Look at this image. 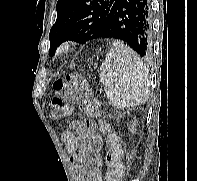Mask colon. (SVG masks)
I'll use <instances>...</instances> for the list:
<instances>
[{
	"mask_svg": "<svg viewBox=\"0 0 197 181\" xmlns=\"http://www.w3.org/2000/svg\"><path fill=\"white\" fill-rule=\"evenodd\" d=\"M53 98L50 113L53 117L70 115L73 111V102L76 101L80 110L90 117L99 114L97 102L91 94L80 76L76 74L68 75L63 79L53 82ZM105 128L106 125H103ZM122 149L115 135L108 138V152L106 155L107 172L105 181H121L124 167L120 162Z\"/></svg>",
	"mask_w": 197,
	"mask_h": 181,
	"instance_id": "1",
	"label": "colon"
}]
</instances>
